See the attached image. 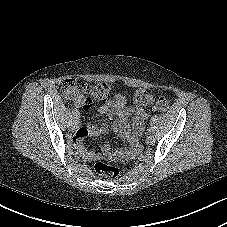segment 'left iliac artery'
Masks as SVG:
<instances>
[{"mask_svg": "<svg viewBox=\"0 0 227 227\" xmlns=\"http://www.w3.org/2000/svg\"><path fill=\"white\" fill-rule=\"evenodd\" d=\"M147 133L150 134L151 133V128L147 129Z\"/></svg>", "mask_w": 227, "mask_h": 227, "instance_id": "1", "label": "left iliac artery"}]
</instances>
